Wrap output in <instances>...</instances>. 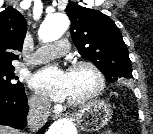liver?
<instances>
[{"instance_id": "obj_1", "label": "liver", "mask_w": 153, "mask_h": 134, "mask_svg": "<svg viewBox=\"0 0 153 134\" xmlns=\"http://www.w3.org/2000/svg\"><path fill=\"white\" fill-rule=\"evenodd\" d=\"M0 134H20V132L11 127L0 126Z\"/></svg>"}]
</instances>
